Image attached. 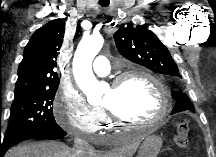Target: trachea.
I'll return each mask as SVG.
<instances>
[{
	"instance_id": "obj_1",
	"label": "trachea",
	"mask_w": 216,
	"mask_h": 157,
	"mask_svg": "<svg viewBox=\"0 0 216 157\" xmlns=\"http://www.w3.org/2000/svg\"><path fill=\"white\" fill-rule=\"evenodd\" d=\"M101 7H107L109 5V2H99Z\"/></svg>"
}]
</instances>
